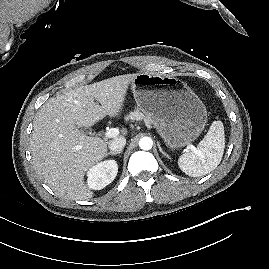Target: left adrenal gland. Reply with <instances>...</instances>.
I'll list each match as a JSON object with an SVG mask.
<instances>
[{"instance_id":"1","label":"left adrenal gland","mask_w":269,"mask_h":269,"mask_svg":"<svg viewBox=\"0 0 269 269\" xmlns=\"http://www.w3.org/2000/svg\"><path fill=\"white\" fill-rule=\"evenodd\" d=\"M158 148H159V151H160L165 157L169 158V155L166 154V153L162 150V148H161V146H160L159 143H158Z\"/></svg>"}]
</instances>
